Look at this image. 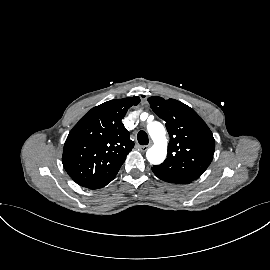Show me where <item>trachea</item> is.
Segmentation results:
<instances>
[{
	"label": "trachea",
	"mask_w": 270,
	"mask_h": 270,
	"mask_svg": "<svg viewBox=\"0 0 270 270\" xmlns=\"http://www.w3.org/2000/svg\"><path fill=\"white\" fill-rule=\"evenodd\" d=\"M137 139L140 145H147L149 143L148 135L145 131H139Z\"/></svg>",
	"instance_id": "3493384b"
}]
</instances>
